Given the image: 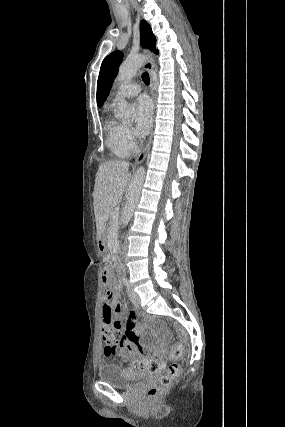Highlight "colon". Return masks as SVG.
Returning <instances> with one entry per match:
<instances>
[{
  "mask_svg": "<svg viewBox=\"0 0 285 427\" xmlns=\"http://www.w3.org/2000/svg\"><path fill=\"white\" fill-rule=\"evenodd\" d=\"M103 286L105 287L104 304L111 311L114 309V284L112 281L111 270L108 267H103L101 270ZM178 328L177 324H174ZM102 338L105 342L104 354L110 357L116 350L120 348V329L112 324H106L102 327ZM183 344L178 342L172 345L169 351V358L175 360L183 355ZM132 364L141 369L153 373H160L158 383L150 386L146 391L147 401L155 402L159 397L167 392L173 381L180 374V365L173 362L169 365L166 373H162L165 368V361L154 358H141L132 361Z\"/></svg>",
  "mask_w": 285,
  "mask_h": 427,
  "instance_id": "5ec220e1",
  "label": "colon"
}]
</instances>
